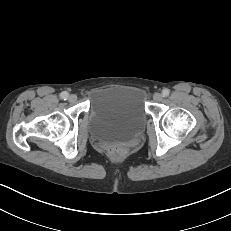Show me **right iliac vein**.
<instances>
[{
  "label": "right iliac vein",
  "instance_id": "obj_1",
  "mask_svg": "<svg viewBox=\"0 0 231 231\" xmlns=\"http://www.w3.org/2000/svg\"><path fill=\"white\" fill-rule=\"evenodd\" d=\"M68 100H69L70 103H75L77 101V96L75 94H71L68 97Z\"/></svg>",
  "mask_w": 231,
  "mask_h": 231
}]
</instances>
